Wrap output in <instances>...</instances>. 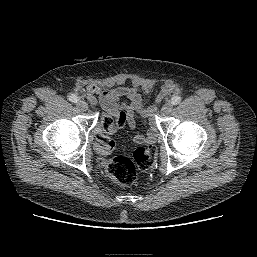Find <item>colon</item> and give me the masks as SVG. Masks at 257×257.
Instances as JSON below:
<instances>
[{
    "instance_id": "obj_1",
    "label": "colon",
    "mask_w": 257,
    "mask_h": 257,
    "mask_svg": "<svg viewBox=\"0 0 257 257\" xmlns=\"http://www.w3.org/2000/svg\"><path fill=\"white\" fill-rule=\"evenodd\" d=\"M126 123L124 115L116 117L103 116L100 126L95 130V137L98 141V149L102 153L111 152L115 148L112 135ZM156 148L154 146L139 147L133 153V158L123 156L114 157L107 165L108 175L117 183L123 186L132 185L137 177V167L148 169L153 166L156 159Z\"/></svg>"
}]
</instances>
